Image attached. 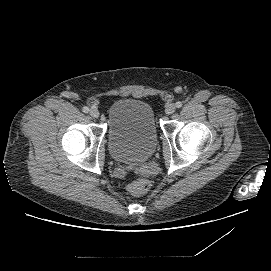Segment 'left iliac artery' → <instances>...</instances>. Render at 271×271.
I'll return each mask as SVG.
<instances>
[{
	"instance_id": "left-iliac-artery-1",
	"label": "left iliac artery",
	"mask_w": 271,
	"mask_h": 271,
	"mask_svg": "<svg viewBox=\"0 0 271 271\" xmlns=\"http://www.w3.org/2000/svg\"><path fill=\"white\" fill-rule=\"evenodd\" d=\"M176 107H177V108L182 107V102H180V101L176 102Z\"/></svg>"
}]
</instances>
